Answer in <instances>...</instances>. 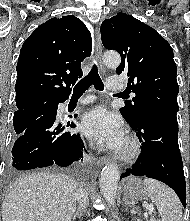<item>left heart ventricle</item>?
Returning a JSON list of instances; mask_svg holds the SVG:
<instances>
[{
	"label": "left heart ventricle",
	"mask_w": 190,
	"mask_h": 221,
	"mask_svg": "<svg viewBox=\"0 0 190 221\" xmlns=\"http://www.w3.org/2000/svg\"><path fill=\"white\" fill-rule=\"evenodd\" d=\"M126 146H127V144H126V140L124 138L123 141L121 142V144L116 149L123 150L126 148Z\"/></svg>",
	"instance_id": "b2bd125f"
}]
</instances>
